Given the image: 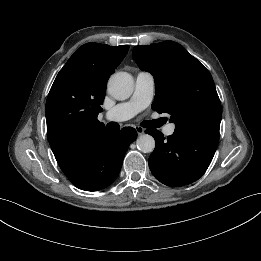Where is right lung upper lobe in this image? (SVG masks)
<instances>
[{
	"instance_id": "cb5924a9",
	"label": "right lung upper lobe",
	"mask_w": 261,
	"mask_h": 261,
	"mask_svg": "<svg viewBox=\"0 0 261 261\" xmlns=\"http://www.w3.org/2000/svg\"><path fill=\"white\" fill-rule=\"evenodd\" d=\"M128 49L126 45L84 44L58 73L45 115L48 141L65 175L86 159L107 131L97 116L102 111L107 81Z\"/></svg>"
}]
</instances>
